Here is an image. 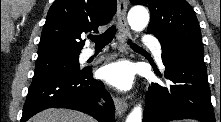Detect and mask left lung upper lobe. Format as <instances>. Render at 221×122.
<instances>
[{"label": "left lung upper lobe", "instance_id": "1", "mask_svg": "<svg viewBox=\"0 0 221 122\" xmlns=\"http://www.w3.org/2000/svg\"><path fill=\"white\" fill-rule=\"evenodd\" d=\"M151 12L148 33L154 34L164 51L204 56L198 20L186 0H130Z\"/></svg>", "mask_w": 221, "mask_h": 122}]
</instances>
